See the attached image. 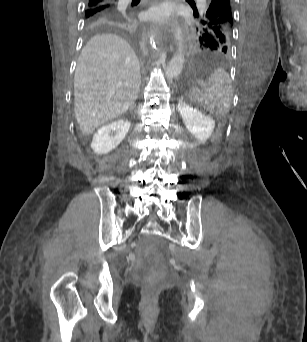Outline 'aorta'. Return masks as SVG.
I'll use <instances>...</instances> for the list:
<instances>
[{
  "mask_svg": "<svg viewBox=\"0 0 307 342\" xmlns=\"http://www.w3.org/2000/svg\"><path fill=\"white\" fill-rule=\"evenodd\" d=\"M175 38L176 40H178V52L176 56L172 58L171 62H169L165 70L166 76H170V78L171 76H177V74L181 72L184 66V62H185V58L183 54V36H182L181 28H179V26L176 30Z\"/></svg>",
  "mask_w": 307,
  "mask_h": 342,
  "instance_id": "1",
  "label": "aorta"
}]
</instances>
